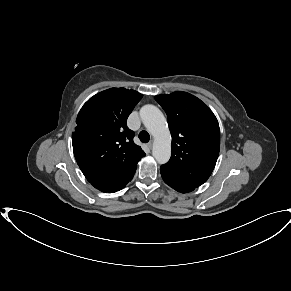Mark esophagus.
<instances>
[{"label": "esophagus", "mask_w": 291, "mask_h": 291, "mask_svg": "<svg viewBox=\"0 0 291 291\" xmlns=\"http://www.w3.org/2000/svg\"><path fill=\"white\" fill-rule=\"evenodd\" d=\"M147 147H148L149 149H151V148L153 147V141H150V142L147 144Z\"/></svg>", "instance_id": "34e87169"}]
</instances>
